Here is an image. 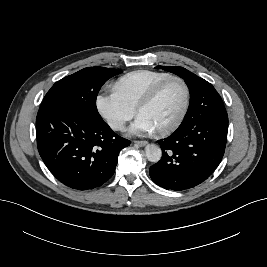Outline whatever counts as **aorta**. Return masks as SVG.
I'll use <instances>...</instances> for the list:
<instances>
[{
	"mask_svg": "<svg viewBox=\"0 0 267 267\" xmlns=\"http://www.w3.org/2000/svg\"><path fill=\"white\" fill-rule=\"evenodd\" d=\"M146 157L150 162L157 163L162 157L161 148L155 144H148L145 147Z\"/></svg>",
	"mask_w": 267,
	"mask_h": 267,
	"instance_id": "1",
	"label": "aorta"
}]
</instances>
